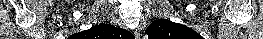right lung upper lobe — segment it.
Returning a JSON list of instances; mask_svg holds the SVG:
<instances>
[{
    "instance_id": "right-lung-upper-lobe-1",
    "label": "right lung upper lobe",
    "mask_w": 263,
    "mask_h": 39,
    "mask_svg": "<svg viewBox=\"0 0 263 39\" xmlns=\"http://www.w3.org/2000/svg\"><path fill=\"white\" fill-rule=\"evenodd\" d=\"M81 35L85 39H124L130 36L127 31L109 24L94 26L89 30L81 32Z\"/></svg>"
}]
</instances>
